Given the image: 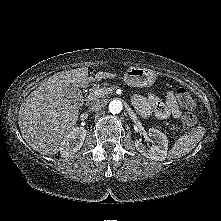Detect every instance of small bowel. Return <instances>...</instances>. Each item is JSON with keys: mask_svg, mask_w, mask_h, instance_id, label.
Listing matches in <instances>:
<instances>
[{"mask_svg": "<svg viewBox=\"0 0 221 221\" xmlns=\"http://www.w3.org/2000/svg\"><path fill=\"white\" fill-rule=\"evenodd\" d=\"M134 103L138 111L145 117L152 115L159 119H168L171 117L178 119L181 117V111L176 103L173 92H168L164 101L155 95H149L148 97L136 95Z\"/></svg>", "mask_w": 221, "mask_h": 221, "instance_id": "small-bowel-1", "label": "small bowel"}]
</instances>
